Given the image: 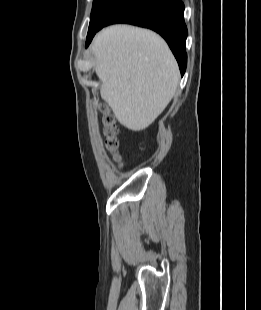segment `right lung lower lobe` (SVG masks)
I'll return each instance as SVG.
<instances>
[{"label": "right lung lower lobe", "mask_w": 261, "mask_h": 310, "mask_svg": "<svg viewBox=\"0 0 261 310\" xmlns=\"http://www.w3.org/2000/svg\"><path fill=\"white\" fill-rule=\"evenodd\" d=\"M183 15L184 4L181 0H127L100 26L88 32L86 46L97 31L109 24L129 23L150 28L166 40L183 75L187 65V27Z\"/></svg>", "instance_id": "right-lung-lower-lobe-1"}]
</instances>
